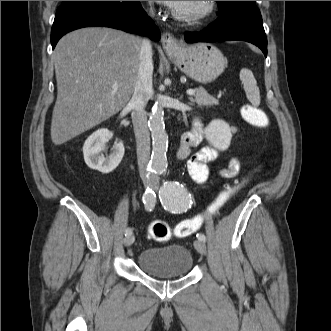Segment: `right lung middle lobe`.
I'll list each match as a JSON object with an SVG mask.
<instances>
[{
    "mask_svg": "<svg viewBox=\"0 0 331 331\" xmlns=\"http://www.w3.org/2000/svg\"><path fill=\"white\" fill-rule=\"evenodd\" d=\"M74 2H78V1H63L62 5L71 4V3H74Z\"/></svg>",
    "mask_w": 331,
    "mask_h": 331,
    "instance_id": "dd1d6c3e",
    "label": "right lung middle lobe"
}]
</instances>
